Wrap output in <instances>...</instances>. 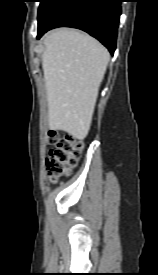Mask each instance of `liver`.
<instances>
[{
  "instance_id": "obj_1",
  "label": "liver",
  "mask_w": 158,
  "mask_h": 275,
  "mask_svg": "<svg viewBox=\"0 0 158 275\" xmlns=\"http://www.w3.org/2000/svg\"><path fill=\"white\" fill-rule=\"evenodd\" d=\"M43 43L49 128L83 140L90 130L110 54L99 41L73 29L51 31Z\"/></svg>"
}]
</instances>
